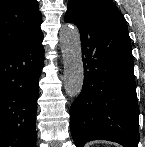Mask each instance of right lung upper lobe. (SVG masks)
Segmentation results:
<instances>
[{
    "mask_svg": "<svg viewBox=\"0 0 145 147\" xmlns=\"http://www.w3.org/2000/svg\"><path fill=\"white\" fill-rule=\"evenodd\" d=\"M37 0H0V50L42 33Z\"/></svg>",
    "mask_w": 145,
    "mask_h": 147,
    "instance_id": "right-lung-upper-lobe-1",
    "label": "right lung upper lobe"
}]
</instances>
